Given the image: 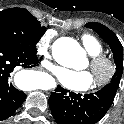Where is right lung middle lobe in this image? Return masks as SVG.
<instances>
[{"label":"right lung middle lobe","instance_id":"1","mask_svg":"<svg viewBox=\"0 0 124 124\" xmlns=\"http://www.w3.org/2000/svg\"><path fill=\"white\" fill-rule=\"evenodd\" d=\"M46 28L23 8H10L0 12V42L22 45L36 51V44Z\"/></svg>","mask_w":124,"mask_h":124}]
</instances>
